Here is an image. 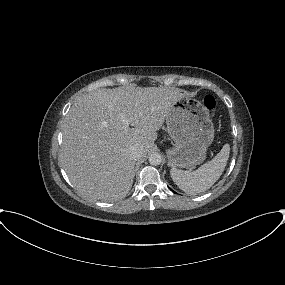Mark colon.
<instances>
[{
    "label": "colon",
    "mask_w": 285,
    "mask_h": 285,
    "mask_svg": "<svg viewBox=\"0 0 285 285\" xmlns=\"http://www.w3.org/2000/svg\"><path fill=\"white\" fill-rule=\"evenodd\" d=\"M205 108L212 113L216 110V100L212 95H206L203 100Z\"/></svg>",
    "instance_id": "obj_1"
}]
</instances>
